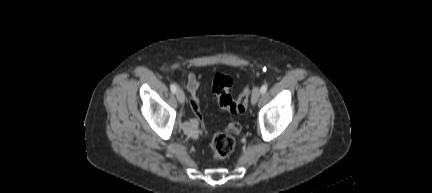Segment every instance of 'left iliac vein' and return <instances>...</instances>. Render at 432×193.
<instances>
[{
  "label": "left iliac vein",
  "mask_w": 432,
  "mask_h": 193,
  "mask_svg": "<svg viewBox=\"0 0 432 193\" xmlns=\"http://www.w3.org/2000/svg\"><path fill=\"white\" fill-rule=\"evenodd\" d=\"M260 94H261V91H260L259 87H255L253 92H252V96H251V103L253 105H255L258 102V100L260 98Z\"/></svg>",
  "instance_id": "left-iliac-vein-1"
}]
</instances>
